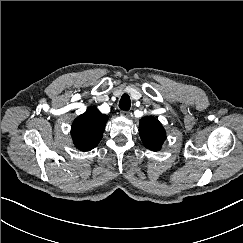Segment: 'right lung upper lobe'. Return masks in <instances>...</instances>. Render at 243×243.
I'll return each mask as SVG.
<instances>
[{
	"label": "right lung upper lobe",
	"instance_id": "right-lung-upper-lobe-1",
	"mask_svg": "<svg viewBox=\"0 0 243 243\" xmlns=\"http://www.w3.org/2000/svg\"><path fill=\"white\" fill-rule=\"evenodd\" d=\"M108 117L95 107H90L78 116L72 124L71 136L76 148L90 151L96 147L103 136Z\"/></svg>",
	"mask_w": 243,
	"mask_h": 243
}]
</instances>
